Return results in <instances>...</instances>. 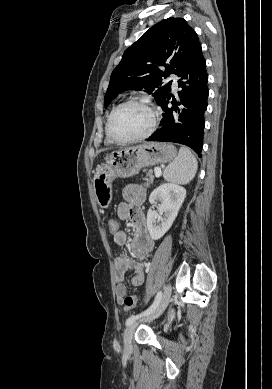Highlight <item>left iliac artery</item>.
<instances>
[{"label": "left iliac artery", "instance_id": "1", "mask_svg": "<svg viewBox=\"0 0 272 389\" xmlns=\"http://www.w3.org/2000/svg\"><path fill=\"white\" fill-rule=\"evenodd\" d=\"M161 297H162V292L159 291L155 297V300L153 302V304L146 310L144 311L143 313H140V314H137V315H133L131 317H129L127 320H126V326H129L131 325L132 323H134L137 319L143 317V316H147L149 315L150 313H152L155 308L158 306L160 300H161Z\"/></svg>", "mask_w": 272, "mask_h": 389}]
</instances>
